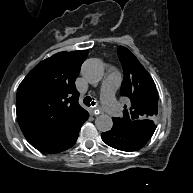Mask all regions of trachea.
Instances as JSON below:
<instances>
[{"mask_svg":"<svg viewBox=\"0 0 193 193\" xmlns=\"http://www.w3.org/2000/svg\"><path fill=\"white\" fill-rule=\"evenodd\" d=\"M94 100V99H93ZM92 100V98H90L89 96H86L83 100V103L86 105V106H94L96 103Z\"/></svg>","mask_w":193,"mask_h":193,"instance_id":"3493384b","label":"trachea"}]
</instances>
